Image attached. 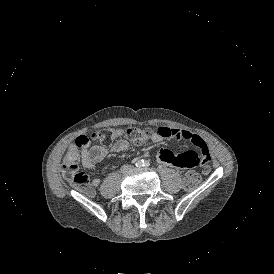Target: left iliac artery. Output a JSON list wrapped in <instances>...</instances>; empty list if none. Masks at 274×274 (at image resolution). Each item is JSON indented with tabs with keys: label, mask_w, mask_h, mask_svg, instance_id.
Returning <instances> with one entry per match:
<instances>
[{
	"label": "left iliac artery",
	"mask_w": 274,
	"mask_h": 274,
	"mask_svg": "<svg viewBox=\"0 0 274 274\" xmlns=\"http://www.w3.org/2000/svg\"><path fill=\"white\" fill-rule=\"evenodd\" d=\"M143 166H145V167H149L150 166V162L149 161H144V165Z\"/></svg>",
	"instance_id": "44dca946"
}]
</instances>
